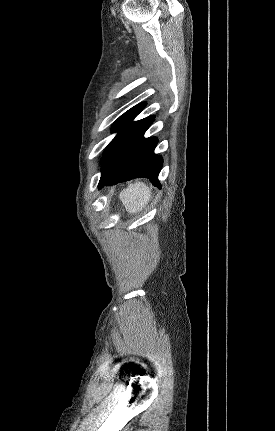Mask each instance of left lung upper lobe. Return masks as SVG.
I'll return each instance as SVG.
<instances>
[{
    "label": "left lung upper lobe",
    "mask_w": 275,
    "mask_h": 431,
    "mask_svg": "<svg viewBox=\"0 0 275 431\" xmlns=\"http://www.w3.org/2000/svg\"><path fill=\"white\" fill-rule=\"evenodd\" d=\"M145 103L138 104L120 116L112 126V132H118L115 138L106 147L102 157V172H104L118 153L154 119L150 116L133 122V119L141 112Z\"/></svg>",
    "instance_id": "1"
}]
</instances>
